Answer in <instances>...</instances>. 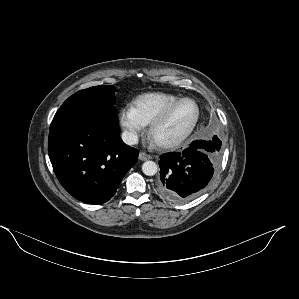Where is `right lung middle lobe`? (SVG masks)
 Segmentation results:
<instances>
[{"instance_id": "right-lung-middle-lobe-1", "label": "right lung middle lobe", "mask_w": 299, "mask_h": 299, "mask_svg": "<svg viewBox=\"0 0 299 299\" xmlns=\"http://www.w3.org/2000/svg\"><path fill=\"white\" fill-rule=\"evenodd\" d=\"M113 86H94L70 96L55 114L50 130L76 119H105L117 122Z\"/></svg>"}]
</instances>
